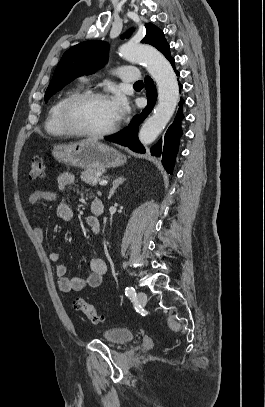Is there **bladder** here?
<instances>
[{
    "instance_id": "obj_1",
    "label": "bladder",
    "mask_w": 265,
    "mask_h": 407,
    "mask_svg": "<svg viewBox=\"0 0 265 407\" xmlns=\"http://www.w3.org/2000/svg\"><path fill=\"white\" fill-rule=\"evenodd\" d=\"M104 339L113 345H123L132 341L135 333L126 328L113 327L103 332Z\"/></svg>"
}]
</instances>
